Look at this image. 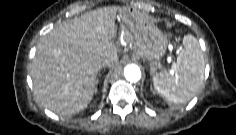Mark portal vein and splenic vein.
Returning <instances> with one entry per match:
<instances>
[{"label":"portal vein and splenic vein","mask_w":236,"mask_h":135,"mask_svg":"<svg viewBox=\"0 0 236 135\" xmlns=\"http://www.w3.org/2000/svg\"><path fill=\"white\" fill-rule=\"evenodd\" d=\"M175 69H176V64L174 63V64L172 65V72H174Z\"/></svg>","instance_id":"obj_1"}]
</instances>
